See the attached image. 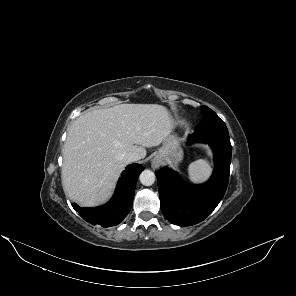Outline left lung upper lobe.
<instances>
[{"label": "left lung upper lobe", "instance_id": "left-lung-upper-lobe-1", "mask_svg": "<svg viewBox=\"0 0 296 296\" xmlns=\"http://www.w3.org/2000/svg\"><path fill=\"white\" fill-rule=\"evenodd\" d=\"M203 119L196 126L194 132L208 130H227L225 123L216 115V113L207 106H201Z\"/></svg>", "mask_w": 296, "mask_h": 296}]
</instances>
